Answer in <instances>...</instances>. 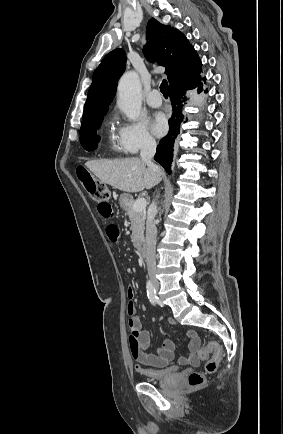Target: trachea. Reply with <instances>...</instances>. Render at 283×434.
Segmentation results:
<instances>
[{
  "mask_svg": "<svg viewBox=\"0 0 283 434\" xmlns=\"http://www.w3.org/2000/svg\"><path fill=\"white\" fill-rule=\"evenodd\" d=\"M160 91L163 94L164 97H168V82L164 79L160 85Z\"/></svg>",
  "mask_w": 283,
  "mask_h": 434,
  "instance_id": "3493384b",
  "label": "trachea"
}]
</instances>
